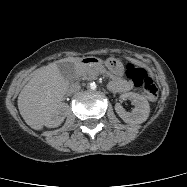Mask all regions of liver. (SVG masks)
<instances>
[{
	"instance_id": "obj_1",
	"label": "liver",
	"mask_w": 187,
	"mask_h": 187,
	"mask_svg": "<svg viewBox=\"0 0 187 187\" xmlns=\"http://www.w3.org/2000/svg\"><path fill=\"white\" fill-rule=\"evenodd\" d=\"M79 60V57H69L34 71L17 101L22 118L31 128L41 130L69 92V81L60 73L57 64L64 61L76 63Z\"/></svg>"
}]
</instances>
